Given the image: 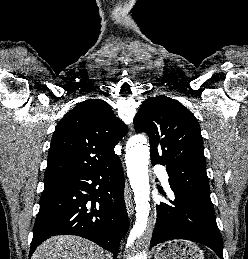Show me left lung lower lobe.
<instances>
[{"instance_id":"0a47b994","label":"left lung lower lobe","mask_w":248,"mask_h":259,"mask_svg":"<svg viewBox=\"0 0 248 259\" xmlns=\"http://www.w3.org/2000/svg\"><path fill=\"white\" fill-rule=\"evenodd\" d=\"M175 200L157 205V221L150 247L173 239H186L210 247L223 259V243L210 197L171 187Z\"/></svg>"}]
</instances>
